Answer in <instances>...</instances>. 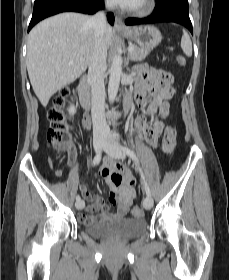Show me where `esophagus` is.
Segmentation results:
<instances>
[{
    "label": "esophagus",
    "instance_id": "34e87169",
    "mask_svg": "<svg viewBox=\"0 0 229 280\" xmlns=\"http://www.w3.org/2000/svg\"><path fill=\"white\" fill-rule=\"evenodd\" d=\"M114 27L116 30H122V31L128 30V28L125 26L123 20L119 16L115 17Z\"/></svg>",
    "mask_w": 229,
    "mask_h": 280
}]
</instances>
